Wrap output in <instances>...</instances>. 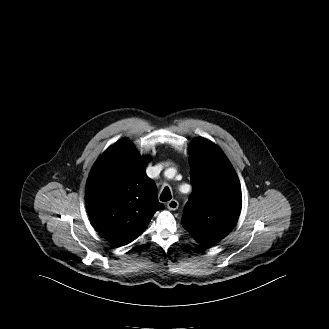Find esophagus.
Returning a JSON list of instances; mask_svg holds the SVG:
<instances>
[{"label": "esophagus", "mask_w": 329, "mask_h": 329, "mask_svg": "<svg viewBox=\"0 0 329 329\" xmlns=\"http://www.w3.org/2000/svg\"><path fill=\"white\" fill-rule=\"evenodd\" d=\"M178 207H179V203L176 200H171L167 203V208L169 210L175 211L178 209Z\"/></svg>", "instance_id": "1"}]
</instances>
